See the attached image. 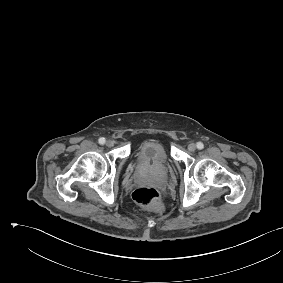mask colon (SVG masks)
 I'll return each mask as SVG.
<instances>
[{"label": "colon", "instance_id": "obj_1", "mask_svg": "<svg viewBox=\"0 0 283 283\" xmlns=\"http://www.w3.org/2000/svg\"><path fill=\"white\" fill-rule=\"evenodd\" d=\"M133 200L154 212H161L163 205L161 202L160 192L153 187H141L132 193Z\"/></svg>", "mask_w": 283, "mask_h": 283}]
</instances>
